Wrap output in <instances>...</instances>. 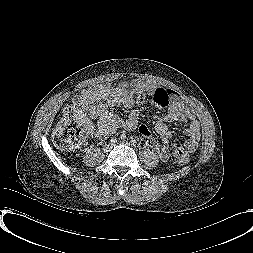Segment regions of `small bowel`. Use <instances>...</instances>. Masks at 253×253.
Wrapping results in <instances>:
<instances>
[{
	"mask_svg": "<svg viewBox=\"0 0 253 253\" xmlns=\"http://www.w3.org/2000/svg\"><path fill=\"white\" fill-rule=\"evenodd\" d=\"M124 86L133 87L139 92L151 94V103L156 108H167L166 112L157 118L154 131L160 138V142L154 145V150L162 161H167L171 151L180 146L187 152H193L199 143L200 125L196 120L195 113L189 104L172 90L159 85L144 81H134ZM117 103L129 110L126 117L114 113ZM136 102L134 97L126 95L118 97L111 92L108 85H97L84 89L73 98L72 106L69 109L81 114L86 125L100 138L109 137L119 128L134 130L143 137H150L151 131L146 125H137V113L135 112ZM177 122L188 124L184 131L185 140L183 143H171L172 133L167 123Z\"/></svg>",
	"mask_w": 253,
	"mask_h": 253,
	"instance_id": "obj_1",
	"label": "small bowel"
}]
</instances>
